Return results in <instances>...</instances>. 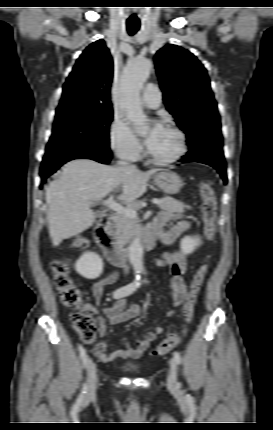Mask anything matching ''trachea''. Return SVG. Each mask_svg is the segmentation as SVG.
Returning <instances> with one entry per match:
<instances>
[{
  "instance_id": "trachea-1",
  "label": "trachea",
  "mask_w": 273,
  "mask_h": 430,
  "mask_svg": "<svg viewBox=\"0 0 273 430\" xmlns=\"http://www.w3.org/2000/svg\"><path fill=\"white\" fill-rule=\"evenodd\" d=\"M140 28L139 23H127V31L129 35H134Z\"/></svg>"
}]
</instances>
